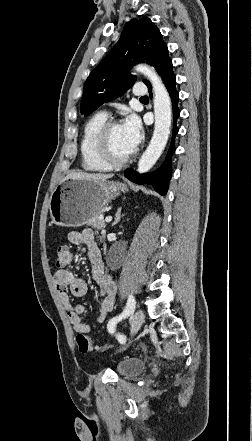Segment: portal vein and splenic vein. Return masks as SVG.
I'll use <instances>...</instances> for the list:
<instances>
[{
  "mask_svg": "<svg viewBox=\"0 0 252 441\" xmlns=\"http://www.w3.org/2000/svg\"><path fill=\"white\" fill-rule=\"evenodd\" d=\"M105 221H106L107 223L111 222V221H112V217H111V216L106 217V218H105Z\"/></svg>",
  "mask_w": 252,
  "mask_h": 441,
  "instance_id": "18ae733b",
  "label": "portal vein and splenic vein"
}]
</instances>
